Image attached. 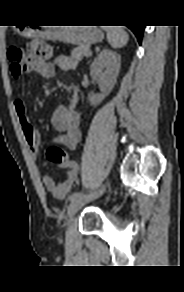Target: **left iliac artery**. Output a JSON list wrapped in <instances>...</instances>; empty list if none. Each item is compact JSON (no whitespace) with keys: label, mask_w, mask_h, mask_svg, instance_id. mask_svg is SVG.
<instances>
[{"label":"left iliac artery","mask_w":184,"mask_h":292,"mask_svg":"<svg viewBox=\"0 0 184 292\" xmlns=\"http://www.w3.org/2000/svg\"><path fill=\"white\" fill-rule=\"evenodd\" d=\"M84 193L83 192H76L74 194H72L70 197H69V200L72 202V201H75V200H81L83 197H84Z\"/></svg>","instance_id":"left-iliac-artery-1"}]
</instances>
